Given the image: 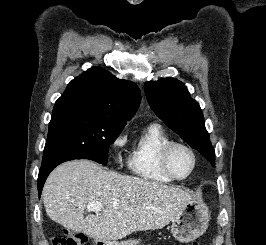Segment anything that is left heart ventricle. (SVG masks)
<instances>
[{
  "label": "left heart ventricle",
  "instance_id": "b2bd125f",
  "mask_svg": "<svg viewBox=\"0 0 266 245\" xmlns=\"http://www.w3.org/2000/svg\"><path fill=\"white\" fill-rule=\"evenodd\" d=\"M170 164L176 176L184 177L193 166V158L186 149L178 147L171 154Z\"/></svg>",
  "mask_w": 266,
  "mask_h": 245
}]
</instances>
